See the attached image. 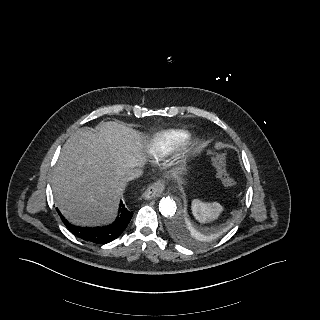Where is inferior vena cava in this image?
<instances>
[{"label": "inferior vena cava", "mask_w": 320, "mask_h": 320, "mask_svg": "<svg viewBox=\"0 0 320 320\" xmlns=\"http://www.w3.org/2000/svg\"><path fill=\"white\" fill-rule=\"evenodd\" d=\"M142 175V170L139 168H134V169H130L126 175L125 178L126 180L130 181V180H134L136 178H139Z\"/></svg>", "instance_id": "obj_1"}]
</instances>
